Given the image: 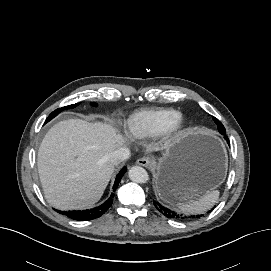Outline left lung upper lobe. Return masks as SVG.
<instances>
[{
  "label": "left lung upper lobe",
  "mask_w": 271,
  "mask_h": 271,
  "mask_svg": "<svg viewBox=\"0 0 271 271\" xmlns=\"http://www.w3.org/2000/svg\"><path fill=\"white\" fill-rule=\"evenodd\" d=\"M213 119H214V121L217 123V125H218V129H219V132L222 134V133H224V126L222 125V123L221 122H219V120L218 119H216L215 117H213Z\"/></svg>",
  "instance_id": "1"
}]
</instances>
